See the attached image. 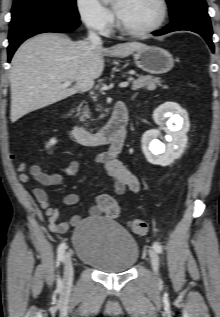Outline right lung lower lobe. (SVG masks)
<instances>
[{
  "label": "right lung lower lobe",
  "instance_id": "98d812e1",
  "mask_svg": "<svg viewBox=\"0 0 220 317\" xmlns=\"http://www.w3.org/2000/svg\"><path fill=\"white\" fill-rule=\"evenodd\" d=\"M80 25L79 19L58 14H33L10 23L8 61L27 38L43 32L66 33Z\"/></svg>",
  "mask_w": 220,
  "mask_h": 317
}]
</instances>
